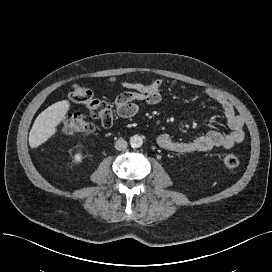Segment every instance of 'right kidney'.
Listing matches in <instances>:
<instances>
[{
    "mask_svg": "<svg viewBox=\"0 0 272 272\" xmlns=\"http://www.w3.org/2000/svg\"><path fill=\"white\" fill-rule=\"evenodd\" d=\"M82 154L81 153H77V154H75L74 155V157H73V159H74V161L76 162V163H78V162H81L82 161Z\"/></svg>",
    "mask_w": 272,
    "mask_h": 272,
    "instance_id": "right-kidney-1",
    "label": "right kidney"
}]
</instances>
